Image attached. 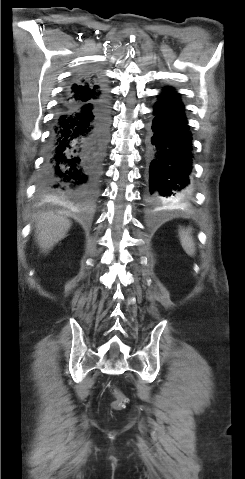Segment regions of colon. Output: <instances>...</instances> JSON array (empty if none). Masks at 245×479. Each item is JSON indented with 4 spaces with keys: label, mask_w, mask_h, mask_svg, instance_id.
Returning a JSON list of instances; mask_svg holds the SVG:
<instances>
[{
    "label": "colon",
    "mask_w": 245,
    "mask_h": 479,
    "mask_svg": "<svg viewBox=\"0 0 245 479\" xmlns=\"http://www.w3.org/2000/svg\"><path fill=\"white\" fill-rule=\"evenodd\" d=\"M110 390L115 397L113 407L115 409L123 408L125 406L126 402H127L125 396L116 387H114L112 385L110 386Z\"/></svg>",
    "instance_id": "obj_1"
}]
</instances>
